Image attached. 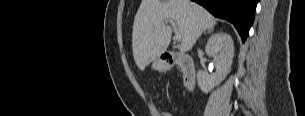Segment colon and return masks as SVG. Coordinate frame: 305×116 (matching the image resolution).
I'll list each match as a JSON object with an SVG mask.
<instances>
[{
    "mask_svg": "<svg viewBox=\"0 0 305 116\" xmlns=\"http://www.w3.org/2000/svg\"><path fill=\"white\" fill-rule=\"evenodd\" d=\"M158 116H173V114L169 111L162 110V111L159 112Z\"/></svg>",
    "mask_w": 305,
    "mask_h": 116,
    "instance_id": "obj_1",
    "label": "colon"
}]
</instances>
